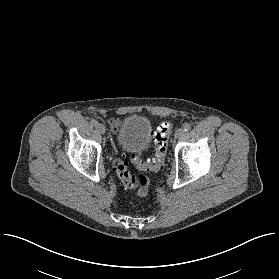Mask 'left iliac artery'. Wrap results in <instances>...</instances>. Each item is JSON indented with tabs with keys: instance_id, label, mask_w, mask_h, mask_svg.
Instances as JSON below:
<instances>
[{
	"instance_id": "1",
	"label": "left iliac artery",
	"mask_w": 279,
	"mask_h": 279,
	"mask_svg": "<svg viewBox=\"0 0 279 279\" xmlns=\"http://www.w3.org/2000/svg\"><path fill=\"white\" fill-rule=\"evenodd\" d=\"M183 129L185 131H189L191 129V125L189 123H185V124H183Z\"/></svg>"
}]
</instances>
